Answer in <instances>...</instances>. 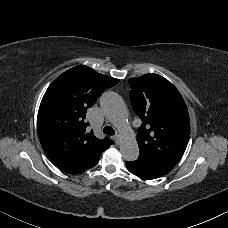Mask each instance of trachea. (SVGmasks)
<instances>
[{
	"instance_id": "3493384b",
	"label": "trachea",
	"mask_w": 228,
	"mask_h": 228,
	"mask_svg": "<svg viewBox=\"0 0 228 228\" xmlns=\"http://www.w3.org/2000/svg\"><path fill=\"white\" fill-rule=\"evenodd\" d=\"M103 132L104 134L111 136L115 134V130L111 126H105Z\"/></svg>"
}]
</instances>
